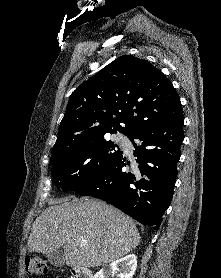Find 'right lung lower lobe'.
Listing matches in <instances>:
<instances>
[{
    "label": "right lung lower lobe",
    "instance_id": "1",
    "mask_svg": "<svg viewBox=\"0 0 221 278\" xmlns=\"http://www.w3.org/2000/svg\"><path fill=\"white\" fill-rule=\"evenodd\" d=\"M183 123L182 114L132 132L128 138L135 148L136 163L131 166L121 153L75 192L107 201L143 225L157 229L173 197ZM126 166L130 170H124Z\"/></svg>",
    "mask_w": 221,
    "mask_h": 278
}]
</instances>
